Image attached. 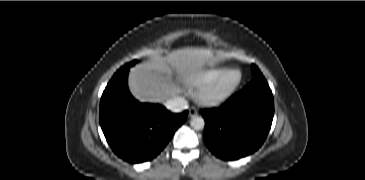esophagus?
<instances>
[{
  "instance_id": "obj_1",
  "label": "esophagus",
  "mask_w": 365,
  "mask_h": 180,
  "mask_svg": "<svg viewBox=\"0 0 365 180\" xmlns=\"http://www.w3.org/2000/svg\"><path fill=\"white\" fill-rule=\"evenodd\" d=\"M197 115H198V112L195 108L189 109V116L190 117L197 116Z\"/></svg>"
}]
</instances>
